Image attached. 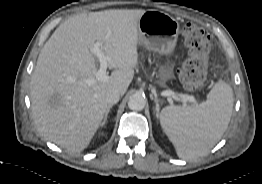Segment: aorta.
I'll return each mask as SVG.
<instances>
[{"label":"aorta","mask_w":262,"mask_h":184,"mask_svg":"<svg viewBox=\"0 0 262 184\" xmlns=\"http://www.w3.org/2000/svg\"><path fill=\"white\" fill-rule=\"evenodd\" d=\"M146 105V99L140 94H133L128 100V107L134 111H141Z\"/></svg>","instance_id":"obj_1"}]
</instances>
